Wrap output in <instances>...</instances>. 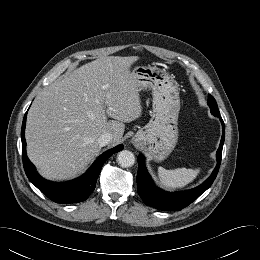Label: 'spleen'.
<instances>
[{
    "mask_svg": "<svg viewBox=\"0 0 260 260\" xmlns=\"http://www.w3.org/2000/svg\"><path fill=\"white\" fill-rule=\"evenodd\" d=\"M200 173V169L177 168L167 170L163 167L158 168L160 183L167 188H182L191 183Z\"/></svg>",
    "mask_w": 260,
    "mask_h": 260,
    "instance_id": "spleen-1",
    "label": "spleen"
}]
</instances>
